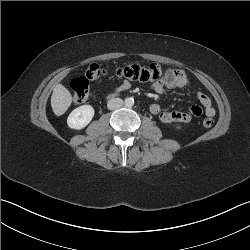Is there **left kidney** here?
<instances>
[{
    "label": "left kidney",
    "mask_w": 250,
    "mask_h": 250,
    "mask_svg": "<svg viewBox=\"0 0 250 250\" xmlns=\"http://www.w3.org/2000/svg\"><path fill=\"white\" fill-rule=\"evenodd\" d=\"M176 128H177L178 130H180V129H181V126H176Z\"/></svg>",
    "instance_id": "left-kidney-1"
}]
</instances>
